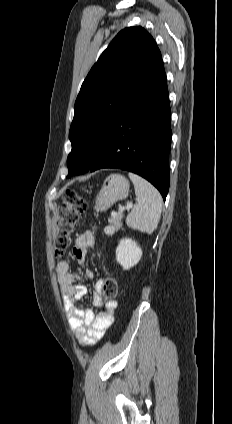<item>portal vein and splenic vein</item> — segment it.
Returning <instances> with one entry per match:
<instances>
[{"label": "portal vein and splenic vein", "instance_id": "1", "mask_svg": "<svg viewBox=\"0 0 232 424\" xmlns=\"http://www.w3.org/2000/svg\"><path fill=\"white\" fill-rule=\"evenodd\" d=\"M132 206H133V203L132 202H129V203H127V205L124 207V206H120L119 207V212H123L124 210H129V209H131L132 208ZM116 213H112V216H114Z\"/></svg>", "mask_w": 232, "mask_h": 424}]
</instances>
